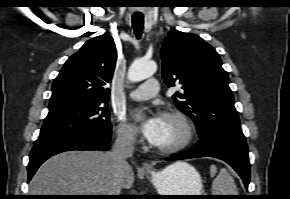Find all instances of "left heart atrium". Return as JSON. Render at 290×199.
I'll return each mask as SVG.
<instances>
[{"label":"left heart atrium","instance_id":"obj_1","mask_svg":"<svg viewBox=\"0 0 290 199\" xmlns=\"http://www.w3.org/2000/svg\"><path fill=\"white\" fill-rule=\"evenodd\" d=\"M136 121L142 135L154 145L160 132L162 116L151 114L144 118L137 117Z\"/></svg>","mask_w":290,"mask_h":199}]
</instances>
